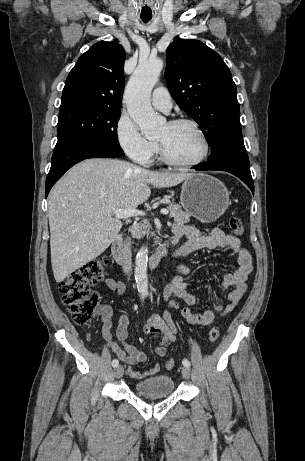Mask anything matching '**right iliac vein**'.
Listing matches in <instances>:
<instances>
[{
  "label": "right iliac vein",
  "instance_id": "right-iliac-vein-1",
  "mask_svg": "<svg viewBox=\"0 0 305 461\" xmlns=\"http://www.w3.org/2000/svg\"><path fill=\"white\" fill-rule=\"evenodd\" d=\"M123 373H124V369L122 366H117L115 369H114V374L116 376V378H120L123 376Z\"/></svg>",
  "mask_w": 305,
  "mask_h": 461
}]
</instances>
